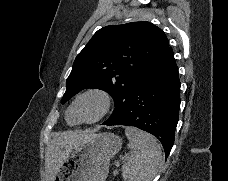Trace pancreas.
I'll use <instances>...</instances> for the list:
<instances>
[{
  "mask_svg": "<svg viewBox=\"0 0 228 181\" xmlns=\"http://www.w3.org/2000/svg\"><path fill=\"white\" fill-rule=\"evenodd\" d=\"M113 175L116 177V175H118V171H114Z\"/></svg>",
  "mask_w": 228,
  "mask_h": 181,
  "instance_id": "1",
  "label": "pancreas"
}]
</instances>
